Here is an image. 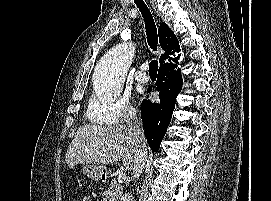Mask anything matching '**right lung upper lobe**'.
Wrapping results in <instances>:
<instances>
[{"label":"right lung upper lobe","mask_w":271,"mask_h":201,"mask_svg":"<svg viewBox=\"0 0 271 201\" xmlns=\"http://www.w3.org/2000/svg\"><path fill=\"white\" fill-rule=\"evenodd\" d=\"M160 46L166 52L160 57V66L166 63L173 62L180 57L177 53L180 52L179 42L172 32V30L167 26L166 23L162 22L158 29Z\"/></svg>","instance_id":"right-lung-upper-lobe-1"}]
</instances>
